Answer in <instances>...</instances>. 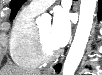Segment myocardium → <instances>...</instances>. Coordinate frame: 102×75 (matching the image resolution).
<instances>
[{
  "label": "myocardium",
  "mask_w": 102,
  "mask_h": 75,
  "mask_svg": "<svg viewBox=\"0 0 102 75\" xmlns=\"http://www.w3.org/2000/svg\"><path fill=\"white\" fill-rule=\"evenodd\" d=\"M34 46L36 57L41 63L50 62L54 60L59 54L58 50L54 52H49L48 49L45 47L39 27H37L35 31Z\"/></svg>",
  "instance_id": "1"
}]
</instances>
